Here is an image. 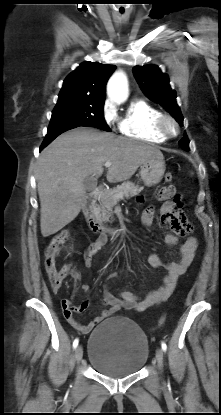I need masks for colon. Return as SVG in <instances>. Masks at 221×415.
I'll use <instances>...</instances> for the list:
<instances>
[{
	"mask_svg": "<svg viewBox=\"0 0 221 415\" xmlns=\"http://www.w3.org/2000/svg\"><path fill=\"white\" fill-rule=\"evenodd\" d=\"M172 174H165V181L167 183L172 181ZM69 230L63 229L55 234L46 249L45 253V271L49 279L50 286L53 291H58L62 283L69 275H75L74 270L70 265H64L61 268L56 266V255L59 247L68 239ZM165 322V317L162 316L158 320L157 327H161Z\"/></svg>",
	"mask_w": 221,
	"mask_h": 415,
	"instance_id": "obj_1",
	"label": "colon"
}]
</instances>
